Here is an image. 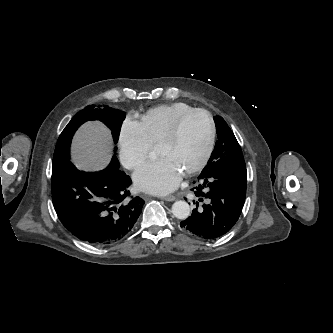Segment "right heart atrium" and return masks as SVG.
I'll return each mask as SVG.
<instances>
[{"instance_id":"1","label":"right heart atrium","mask_w":333,"mask_h":333,"mask_svg":"<svg viewBox=\"0 0 333 333\" xmlns=\"http://www.w3.org/2000/svg\"><path fill=\"white\" fill-rule=\"evenodd\" d=\"M153 144L142 123L126 116L118 133L121 163L130 170L138 168L147 159Z\"/></svg>"}]
</instances>
